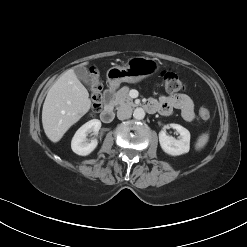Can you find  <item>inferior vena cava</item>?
Wrapping results in <instances>:
<instances>
[{
  "instance_id": "602c4592",
  "label": "inferior vena cava",
  "mask_w": 247,
  "mask_h": 247,
  "mask_svg": "<svg viewBox=\"0 0 247 247\" xmlns=\"http://www.w3.org/2000/svg\"><path fill=\"white\" fill-rule=\"evenodd\" d=\"M132 115V108L128 105H123L118 108L117 117L119 120L129 119Z\"/></svg>"
}]
</instances>
